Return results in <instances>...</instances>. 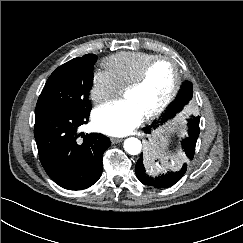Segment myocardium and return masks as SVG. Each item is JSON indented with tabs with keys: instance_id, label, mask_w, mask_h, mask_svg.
I'll return each mask as SVG.
<instances>
[{
	"instance_id": "myocardium-1",
	"label": "myocardium",
	"mask_w": 243,
	"mask_h": 243,
	"mask_svg": "<svg viewBox=\"0 0 243 243\" xmlns=\"http://www.w3.org/2000/svg\"><path fill=\"white\" fill-rule=\"evenodd\" d=\"M161 61H169L172 63L174 70H175V80L173 87L168 95V97L165 99V101L154 111L149 113L148 115L145 116L146 120H153L160 115H162L168 108L169 106L173 103L175 100L181 86V72H180V67L178 63L171 57L169 56H157L150 60L141 70V72L138 74V76L133 79L130 83H128L124 87V95L131 90L139 88L146 80L151 68L158 62Z\"/></svg>"
}]
</instances>
